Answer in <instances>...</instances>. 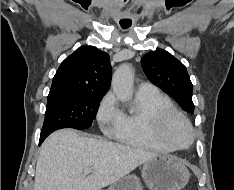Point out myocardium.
I'll use <instances>...</instances> for the list:
<instances>
[{
  "instance_id": "f54148a6",
  "label": "myocardium",
  "mask_w": 234,
  "mask_h": 190,
  "mask_svg": "<svg viewBox=\"0 0 234 190\" xmlns=\"http://www.w3.org/2000/svg\"><path fill=\"white\" fill-rule=\"evenodd\" d=\"M174 119L180 120L188 131L189 139L187 143L183 145L176 144L168 136V127ZM155 132L157 137L173 150L188 148L193 143L195 137L194 130L189 119L181 111L174 107L163 108L156 114Z\"/></svg>"
}]
</instances>
